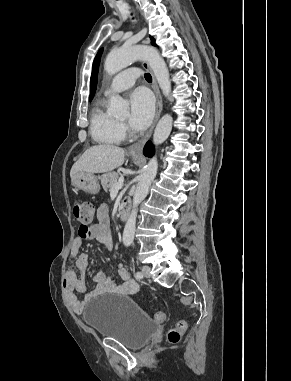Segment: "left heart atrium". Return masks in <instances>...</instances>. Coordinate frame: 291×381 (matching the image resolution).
<instances>
[{
  "mask_svg": "<svg viewBox=\"0 0 291 381\" xmlns=\"http://www.w3.org/2000/svg\"><path fill=\"white\" fill-rule=\"evenodd\" d=\"M154 116V99L145 89L135 90L130 97L129 124L134 130L146 128Z\"/></svg>",
  "mask_w": 291,
  "mask_h": 381,
  "instance_id": "left-heart-atrium-1",
  "label": "left heart atrium"
}]
</instances>
